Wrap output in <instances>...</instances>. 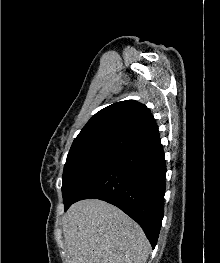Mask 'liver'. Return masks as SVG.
<instances>
[{
	"mask_svg": "<svg viewBox=\"0 0 220 263\" xmlns=\"http://www.w3.org/2000/svg\"><path fill=\"white\" fill-rule=\"evenodd\" d=\"M68 263H146L150 244L141 227L114 205L74 203L63 217Z\"/></svg>",
	"mask_w": 220,
	"mask_h": 263,
	"instance_id": "1",
	"label": "liver"
}]
</instances>
